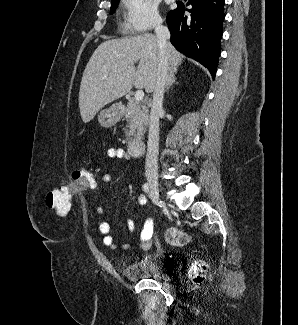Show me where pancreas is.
<instances>
[{"label":"pancreas","instance_id":"obj_1","mask_svg":"<svg viewBox=\"0 0 298 325\" xmlns=\"http://www.w3.org/2000/svg\"><path fill=\"white\" fill-rule=\"evenodd\" d=\"M125 120H127V128H125L126 142L132 144L135 138L143 136L145 126L148 124V108L140 102H136L135 98H130L126 106Z\"/></svg>","mask_w":298,"mask_h":325}]
</instances>
